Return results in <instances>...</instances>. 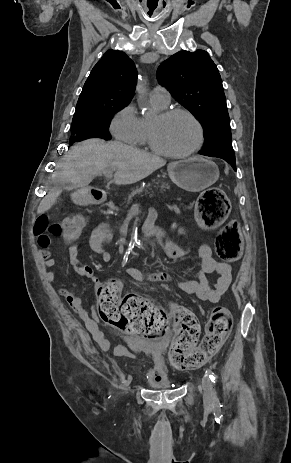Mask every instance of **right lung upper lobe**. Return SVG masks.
I'll list each match as a JSON object with an SVG mask.
<instances>
[{"instance_id":"1","label":"right lung upper lobe","mask_w":291,"mask_h":463,"mask_svg":"<svg viewBox=\"0 0 291 463\" xmlns=\"http://www.w3.org/2000/svg\"><path fill=\"white\" fill-rule=\"evenodd\" d=\"M136 80L133 61L122 51L108 50L86 80L74 115L95 111L107 101L129 103Z\"/></svg>"}]
</instances>
